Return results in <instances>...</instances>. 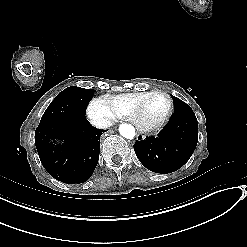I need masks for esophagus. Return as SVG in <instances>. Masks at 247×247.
I'll return each instance as SVG.
<instances>
[{"label":"esophagus","mask_w":247,"mask_h":247,"mask_svg":"<svg viewBox=\"0 0 247 247\" xmlns=\"http://www.w3.org/2000/svg\"><path fill=\"white\" fill-rule=\"evenodd\" d=\"M136 139L139 140V141H142V140L145 139V135L138 133L137 136H136Z\"/></svg>","instance_id":"obj_1"}]
</instances>
